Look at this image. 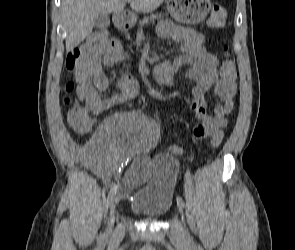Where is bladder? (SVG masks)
<instances>
[{
    "instance_id": "1",
    "label": "bladder",
    "mask_w": 295,
    "mask_h": 250,
    "mask_svg": "<svg viewBox=\"0 0 295 250\" xmlns=\"http://www.w3.org/2000/svg\"><path fill=\"white\" fill-rule=\"evenodd\" d=\"M152 177L143 186H136L129 209L145 219H159L170 210L177 162L167 153L155 156L151 164Z\"/></svg>"
}]
</instances>
